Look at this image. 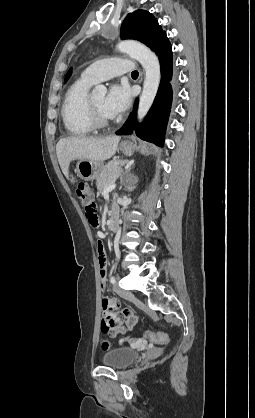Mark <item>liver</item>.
Returning a JSON list of instances; mask_svg holds the SVG:
<instances>
[{"label": "liver", "instance_id": "6515ba94", "mask_svg": "<svg viewBox=\"0 0 255 418\" xmlns=\"http://www.w3.org/2000/svg\"><path fill=\"white\" fill-rule=\"evenodd\" d=\"M119 136L106 138L68 137L60 139L56 145V153L61 170L69 178V166L73 160L110 159L117 150Z\"/></svg>", "mask_w": 255, "mask_h": 418}]
</instances>
